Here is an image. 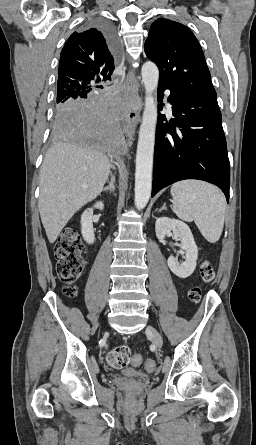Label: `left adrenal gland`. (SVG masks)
<instances>
[{
    "label": "left adrenal gland",
    "mask_w": 256,
    "mask_h": 445,
    "mask_svg": "<svg viewBox=\"0 0 256 445\" xmlns=\"http://www.w3.org/2000/svg\"><path fill=\"white\" fill-rule=\"evenodd\" d=\"M162 210H166V204L164 203L163 206L160 208L159 212H161Z\"/></svg>",
    "instance_id": "a2214340"
}]
</instances>
